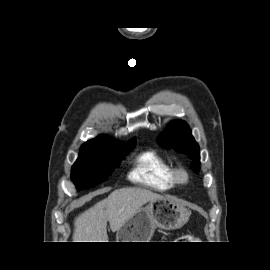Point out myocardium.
<instances>
[{
  "instance_id": "1",
  "label": "myocardium",
  "mask_w": 270,
  "mask_h": 270,
  "mask_svg": "<svg viewBox=\"0 0 270 270\" xmlns=\"http://www.w3.org/2000/svg\"><path fill=\"white\" fill-rule=\"evenodd\" d=\"M173 177L176 184H186L189 181V174L184 168H174Z\"/></svg>"
}]
</instances>
